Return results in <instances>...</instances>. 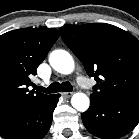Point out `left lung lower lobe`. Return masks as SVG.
Masks as SVG:
<instances>
[{
  "label": "left lung lower lobe",
  "mask_w": 139,
  "mask_h": 139,
  "mask_svg": "<svg viewBox=\"0 0 139 139\" xmlns=\"http://www.w3.org/2000/svg\"><path fill=\"white\" fill-rule=\"evenodd\" d=\"M90 102L81 118L86 129L99 138H120L139 123V95L107 103L90 96Z\"/></svg>",
  "instance_id": "1"
}]
</instances>
